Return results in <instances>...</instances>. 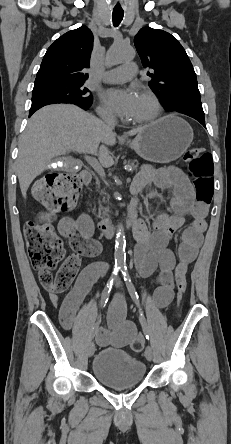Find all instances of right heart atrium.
<instances>
[{"instance_id": "right-heart-atrium-1", "label": "right heart atrium", "mask_w": 231, "mask_h": 444, "mask_svg": "<svg viewBox=\"0 0 231 444\" xmlns=\"http://www.w3.org/2000/svg\"><path fill=\"white\" fill-rule=\"evenodd\" d=\"M98 113L101 117L105 118V119H114V115L113 113L104 105H100L98 107Z\"/></svg>"}]
</instances>
